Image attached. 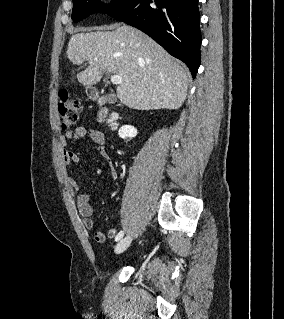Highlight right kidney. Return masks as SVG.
<instances>
[{
	"mask_svg": "<svg viewBox=\"0 0 284 319\" xmlns=\"http://www.w3.org/2000/svg\"><path fill=\"white\" fill-rule=\"evenodd\" d=\"M118 135L120 138H133L137 135V129L131 125H123L119 131Z\"/></svg>",
	"mask_w": 284,
	"mask_h": 319,
	"instance_id": "ca27d5eb",
	"label": "right kidney"
}]
</instances>
